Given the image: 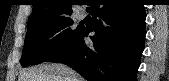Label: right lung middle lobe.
<instances>
[{
  "label": "right lung middle lobe",
  "mask_w": 169,
  "mask_h": 81,
  "mask_svg": "<svg viewBox=\"0 0 169 81\" xmlns=\"http://www.w3.org/2000/svg\"><path fill=\"white\" fill-rule=\"evenodd\" d=\"M69 16L45 19L28 24L20 60L23 67L45 62L77 36L81 26L71 29L70 26L73 21ZM59 31L62 32L52 38Z\"/></svg>",
  "instance_id": "1"
}]
</instances>
